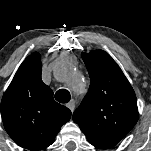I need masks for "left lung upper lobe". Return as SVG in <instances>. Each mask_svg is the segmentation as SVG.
<instances>
[{"label":"left lung upper lobe","mask_w":151,"mask_h":151,"mask_svg":"<svg viewBox=\"0 0 151 151\" xmlns=\"http://www.w3.org/2000/svg\"><path fill=\"white\" fill-rule=\"evenodd\" d=\"M90 76L88 93L73 113L88 141H120L138 120L135 92L127 78L103 50L82 53Z\"/></svg>","instance_id":"5c2ea615"}]
</instances>
